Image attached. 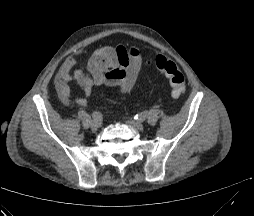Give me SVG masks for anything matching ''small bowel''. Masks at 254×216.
<instances>
[{
	"instance_id": "1",
	"label": "small bowel",
	"mask_w": 254,
	"mask_h": 216,
	"mask_svg": "<svg viewBox=\"0 0 254 216\" xmlns=\"http://www.w3.org/2000/svg\"><path fill=\"white\" fill-rule=\"evenodd\" d=\"M75 64L74 57L65 59L56 75L55 86L62 103L67 105L73 100L85 106L95 86L116 87L120 94H128L140 72L142 55L136 46H104L89 58L87 74L81 69L73 70ZM70 81L83 85L85 96H73Z\"/></svg>"
}]
</instances>
